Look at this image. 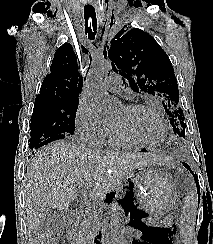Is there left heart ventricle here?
I'll return each instance as SVG.
<instances>
[{"mask_svg":"<svg viewBox=\"0 0 213 244\" xmlns=\"http://www.w3.org/2000/svg\"><path fill=\"white\" fill-rule=\"evenodd\" d=\"M112 123L126 137L145 144H156L163 135L157 119L146 110H128L122 107L113 117Z\"/></svg>","mask_w":213,"mask_h":244,"instance_id":"1","label":"left heart ventricle"}]
</instances>
